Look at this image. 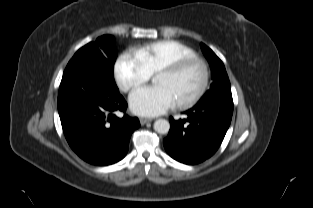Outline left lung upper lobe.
I'll list each match as a JSON object with an SVG mask.
<instances>
[{"label":"left lung upper lobe","instance_id":"5c2ea615","mask_svg":"<svg viewBox=\"0 0 313 208\" xmlns=\"http://www.w3.org/2000/svg\"><path fill=\"white\" fill-rule=\"evenodd\" d=\"M201 49L209 62L213 82L200 101L214 97L232 98L231 85L223 62L203 43H201Z\"/></svg>","mask_w":313,"mask_h":208}]
</instances>
